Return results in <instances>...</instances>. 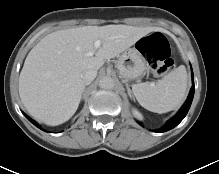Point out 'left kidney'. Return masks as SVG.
Wrapping results in <instances>:
<instances>
[{
    "instance_id": "obj_1",
    "label": "left kidney",
    "mask_w": 219,
    "mask_h": 174,
    "mask_svg": "<svg viewBox=\"0 0 219 174\" xmlns=\"http://www.w3.org/2000/svg\"><path fill=\"white\" fill-rule=\"evenodd\" d=\"M133 113H134V115L137 116V117H140V116H141L140 113H139L137 110H133Z\"/></svg>"
}]
</instances>
